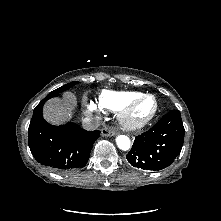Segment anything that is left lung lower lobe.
Listing matches in <instances>:
<instances>
[{"label": "left lung lower lobe", "mask_w": 221, "mask_h": 221, "mask_svg": "<svg viewBox=\"0 0 221 221\" xmlns=\"http://www.w3.org/2000/svg\"><path fill=\"white\" fill-rule=\"evenodd\" d=\"M185 129L179 110L164 115L156 125L135 138L126 158L136 168L161 170L180 154Z\"/></svg>", "instance_id": "1"}]
</instances>
